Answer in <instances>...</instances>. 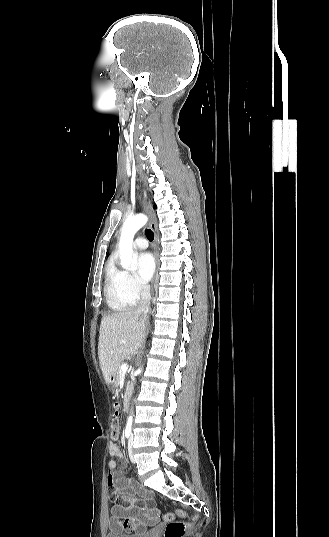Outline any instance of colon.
<instances>
[{"label": "colon", "instance_id": "1", "mask_svg": "<svg viewBox=\"0 0 329 537\" xmlns=\"http://www.w3.org/2000/svg\"><path fill=\"white\" fill-rule=\"evenodd\" d=\"M116 415L118 413H115ZM111 437L114 440L119 439L120 437V426L118 424L117 420L113 421L112 429H111ZM193 516L195 518H198L200 516V513L198 511H195L193 513ZM185 517V512L183 510H176L173 513H165L163 515L164 521L167 522V526L164 532V537H184V535L187 533L189 524L182 520Z\"/></svg>", "mask_w": 329, "mask_h": 537}]
</instances>
